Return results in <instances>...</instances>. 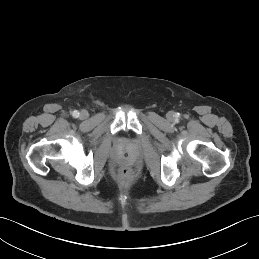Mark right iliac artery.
Here are the masks:
<instances>
[{
    "instance_id": "obj_1",
    "label": "right iliac artery",
    "mask_w": 259,
    "mask_h": 259,
    "mask_svg": "<svg viewBox=\"0 0 259 259\" xmlns=\"http://www.w3.org/2000/svg\"><path fill=\"white\" fill-rule=\"evenodd\" d=\"M72 116H73L74 118H78V117H79V112H78L77 110L73 111V112H72Z\"/></svg>"
}]
</instances>
